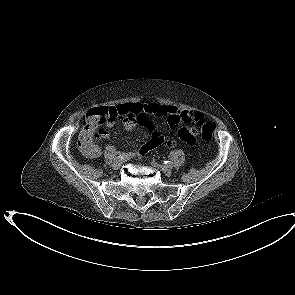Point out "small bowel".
Wrapping results in <instances>:
<instances>
[{"instance_id":"obj_1","label":"small bowel","mask_w":295,"mask_h":295,"mask_svg":"<svg viewBox=\"0 0 295 295\" xmlns=\"http://www.w3.org/2000/svg\"><path fill=\"white\" fill-rule=\"evenodd\" d=\"M108 112L104 120L87 121V125L82 129L87 137L91 139V148L84 154L89 158H96L101 154V149L97 143L100 139L108 138V133L102 126L112 127L116 118H121L124 129L133 130L137 124L147 128L152 136L148 142L138 151L139 155L145 154L151 149H158L161 145L173 147L177 141L187 144L194 143L193 123L201 118L200 113L179 110L176 107L162 105L157 102L148 103H125L110 107H100ZM146 115L162 117L166 120L170 130L175 133L176 137H166L155 128L154 123ZM184 124L186 127H181ZM95 138V142H93Z\"/></svg>"}]
</instances>
